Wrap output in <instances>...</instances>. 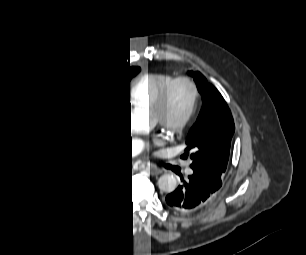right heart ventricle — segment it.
Returning <instances> with one entry per match:
<instances>
[{"mask_svg": "<svg viewBox=\"0 0 306 255\" xmlns=\"http://www.w3.org/2000/svg\"><path fill=\"white\" fill-rule=\"evenodd\" d=\"M169 73H151L139 81L134 98L140 104H152L156 97L175 79Z\"/></svg>", "mask_w": 306, "mask_h": 255, "instance_id": "obj_1", "label": "right heart ventricle"}]
</instances>
